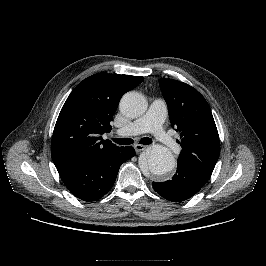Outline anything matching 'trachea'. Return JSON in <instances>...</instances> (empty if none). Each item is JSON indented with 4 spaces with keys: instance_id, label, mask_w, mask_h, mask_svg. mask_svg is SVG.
I'll return each mask as SVG.
<instances>
[{
    "instance_id": "3493384b",
    "label": "trachea",
    "mask_w": 266,
    "mask_h": 266,
    "mask_svg": "<svg viewBox=\"0 0 266 266\" xmlns=\"http://www.w3.org/2000/svg\"><path fill=\"white\" fill-rule=\"evenodd\" d=\"M113 141L119 145H130L134 142L131 138H114ZM140 143L144 145H149L152 143V140L148 137H144L140 140Z\"/></svg>"
}]
</instances>
